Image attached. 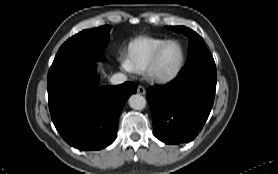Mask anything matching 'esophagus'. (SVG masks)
Listing matches in <instances>:
<instances>
[{
	"label": "esophagus",
	"instance_id": "34e87169",
	"mask_svg": "<svg viewBox=\"0 0 278 174\" xmlns=\"http://www.w3.org/2000/svg\"><path fill=\"white\" fill-rule=\"evenodd\" d=\"M137 92L141 95H144L146 93V89L143 86H138Z\"/></svg>",
	"mask_w": 278,
	"mask_h": 174
}]
</instances>
